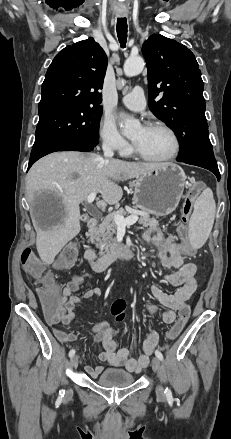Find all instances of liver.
<instances>
[{"mask_svg":"<svg viewBox=\"0 0 231 439\" xmlns=\"http://www.w3.org/2000/svg\"><path fill=\"white\" fill-rule=\"evenodd\" d=\"M166 164L104 159L95 153L76 151L51 153L37 161L27 175L29 201L42 193L59 201L48 217L36 218L32 213L41 260L52 264L61 249L80 232L79 205L90 193H100L109 205L117 204L123 196L117 181L138 178Z\"/></svg>","mask_w":231,"mask_h":439,"instance_id":"liver-1","label":"liver"}]
</instances>
